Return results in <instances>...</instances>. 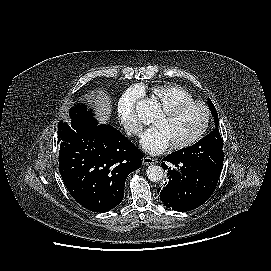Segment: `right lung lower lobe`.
I'll return each mask as SVG.
<instances>
[{"instance_id": "98d812e1", "label": "right lung lower lobe", "mask_w": 271, "mask_h": 271, "mask_svg": "<svg viewBox=\"0 0 271 271\" xmlns=\"http://www.w3.org/2000/svg\"><path fill=\"white\" fill-rule=\"evenodd\" d=\"M59 172L72 197L92 212H107L124 197L127 176L143 153L120 131L94 119L58 124Z\"/></svg>"}]
</instances>
